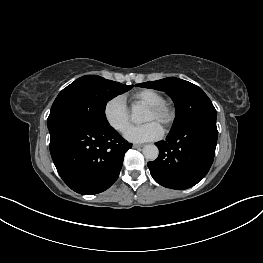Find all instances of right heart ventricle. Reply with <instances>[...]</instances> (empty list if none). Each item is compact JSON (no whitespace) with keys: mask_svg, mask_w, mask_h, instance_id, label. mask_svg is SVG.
<instances>
[{"mask_svg":"<svg viewBox=\"0 0 263 263\" xmlns=\"http://www.w3.org/2000/svg\"><path fill=\"white\" fill-rule=\"evenodd\" d=\"M131 98L139 103H142L146 106L160 103L164 101V97L161 93L153 89H139L131 94Z\"/></svg>","mask_w":263,"mask_h":263,"instance_id":"e07e8e85","label":"right heart ventricle"}]
</instances>
